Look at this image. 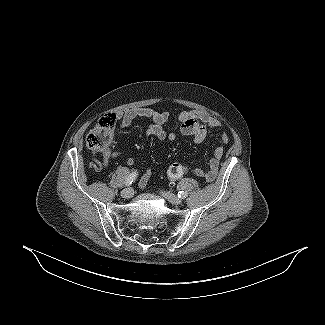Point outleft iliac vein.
<instances>
[{
  "label": "left iliac vein",
  "mask_w": 325,
  "mask_h": 325,
  "mask_svg": "<svg viewBox=\"0 0 325 325\" xmlns=\"http://www.w3.org/2000/svg\"><path fill=\"white\" fill-rule=\"evenodd\" d=\"M161 194L164 198H166L170 203L174 205H179L182 202V200L179 197H177L176 195L170 192L162 191Z\"/></svg>",
  "instance_id": "obj_1"
}]
</instances>
